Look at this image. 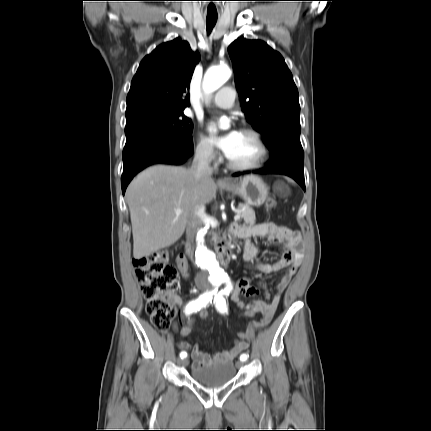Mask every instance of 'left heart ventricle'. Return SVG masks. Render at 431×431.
Listing matches in <instances>:
<instances>
[{"mask_svg":"<svg viewBox=\"0 0 431 431\" xmlns=\"http://www.w3.org/2000/svg\"><path fill=\"white\" fill-rule=\"evenodd\" d=\"M259 153L260 151L255 140L250 135L239 133L227 157L235 163L246 164L256 160Z\"/></svg>","mask_w":431,"mask_h":431,"instance_id":"1","label":"left heart ventricle"}]
</instances>
